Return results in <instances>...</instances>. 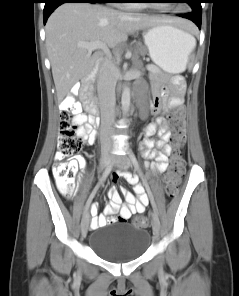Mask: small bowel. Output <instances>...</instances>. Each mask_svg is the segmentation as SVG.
I'll return each instance as SVG.
<instances>
[{
    "instance_id": "small-bowel-1",
    "label": "small bowel",
    "mask_w": 239,
    "mask_h": 296,
    "mask_svg": "<svg viewBox=\"0 0 239 296\" xmlns=\"http://www.w3.org/2000/svg\"><path fill=\"white\" fill-rule=\"evenodd\" d=\"M174 93L168 98V91L166 88H160L156 91L152 112L159 113L166 106L175 107L182 102V91L184 88V81L181 79H174L173 81ZM75 120L80 123L79 134L84 141L91 145L95 142L97 132L94 129L91 118L84 113L78 112ZM145 140L142 144L144 154L154 159L152 168L156 173H163L168 166V156L171 152L169 139L171 136L170 126L164 114L156 118L154 122L147 124L143 128ZM154 135H158L159 139L155 140ZM78 162L84 164V160L78 157ZM120 177L124 178L132 187L133 192L126 188L117 190L112 188L108 192L111 202L105 206L103 213L97 215V205H93L95 218L92 220V227H103L118 221H127L135 213H143L148 206V197L145 193L144 187L138 182L136 175L121 170L112 174V181L116 182ZM122 197H124L127 205L122 204ZM113 213H119L118 217L110 216Z\"/></svg>"
}]
</instances>
